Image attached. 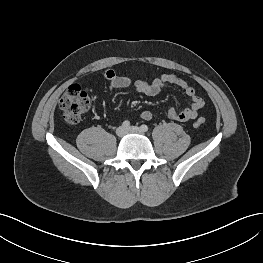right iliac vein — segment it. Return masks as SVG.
I'll return each mask as SVG.
<instances>
[{"label": "right iliac vein", "mask_w": 263, "mask_h": 263, "mask_svg": "<svg viewBox=\"0 0 263 263\" xmlns=\"http://www.w3.org/2000/svg\"><path fill=\"white\" fill-rule=\"evenodd\" d=\"M116 134L119 137H123L126 134V129L123 126H120L116 129Z\"/></svg>", "instance_id": "1"}]
</instances>
